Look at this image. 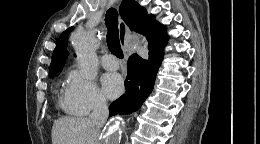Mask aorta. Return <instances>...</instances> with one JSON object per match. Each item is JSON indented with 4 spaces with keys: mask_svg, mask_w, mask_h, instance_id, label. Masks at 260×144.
I'll use <instances>...</instances> for the list:
<instances>
[{
    "mask_svg": "<svg viewBox=\"0 0 260 144\" xmlns=\"http://www.w3.org/2000/svg\"><path fill=\"white\" fill-rule=\"evenodd\" d=\"M98 41L96 33L92 31L79 32L73 37V46L77 53L80 72L88 79L93 78L97 71L96 48Z\"/></svg>",
    "mask_w": 260,
    "mask_h": 144,
    "instance_id": "762f6f07",
    "label": "aorta"
}]
</instances>
